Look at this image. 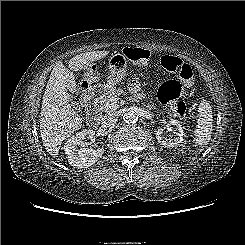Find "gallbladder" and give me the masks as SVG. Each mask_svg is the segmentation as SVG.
Returning a JSON list of instances; mask_svg holds the SVG:
<instances>
[{
    "label": "gallbladder",
    "mask_w": 245,
    "mask_h": 245,
    "mask_svg": "<svg viewBox=\"0 0 245 245\" xmlns=\"http://www.w3.org/2000/svg\"><path fill=\"white\" fill-rule=\"evenodd\" d=\"M70 104L75 110H80V106L77 102L73 101L72 98L70 97Z\"/></svg>",
    "instance_id": "1"
}]
</instances>
